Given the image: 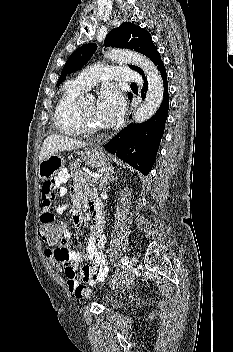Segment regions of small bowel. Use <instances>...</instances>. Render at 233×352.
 Segmentation results:
<instances>
[{
  "label": "small bowel",
  "mask_w": 233,
  "mask_h": 352,
  "mask_svg": "<svg viewBox=\"0 0 233 352\" xmlns=\"http://www.w3.org/2000/svg\"><path fill=\"white\" fill-rule=\"evenodd\" d=\"M68 179L69 172L66 169H62L54 179L43 183L40 220L41 223L58 226L64 233L65 242L62 245L47 249L46 256L65 276L69 290L73 291L80 282L91 286L103 282L109 273V266L106 255L103 252L106 244L104 218L101 212L96 213L93 210L92 204L96 201L93 193L76 182L72 184L71 188L73 202L71 210L72 222L77 227L81 225L83 217L79 210V203L82 199L88 200L91 211L90 236L83 252L70 251L68 249L71 233L64 221H56L53 213V208L57 214H61L64 210V206L54 207L53 202L67 193L68 189L64 185ZM83 260L90 262L79 268L78 263Z\"/></svg>",
  "instance_id": "1"
}]
</instances>
